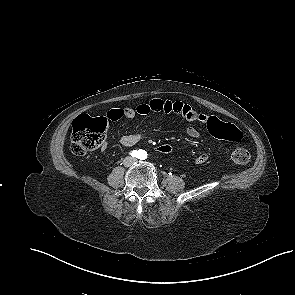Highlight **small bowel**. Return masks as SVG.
<instances>
[{
	"label": "small bowel",
	"instance_id": "1",
	"mask_svg": "<svg viewBox=\"0 0 295 295\" xmlns=\"http://www.w3.org/2000/svg\"><path fill=\"white\" fill-rule=\"evenodd\" d=\"M151 112H163L167 114L174 113L183 117L189 122H199L201 124H205L209 131L210 122L212 120L221 122L217 117L197 112L190 105L181 101H171L158 98L150 99L149 101L141 103L134 108L126 107L111 109L107 112L106 117L110 121H117L122 118L133 119L136 115H146ZM186 134L190 138H198L200 136L199 130L193 126L187 127ZM141 138L142 136L139 133L125 135L121 138L120 143L124 147H131L137 144L141 140ZM106 148L107 144L104 143L101 149L105 150ZM208 159V154L202 153L196 157L195 163L201 165L206 163Z\"/></svg>",
	"mask_w": 295,
	"mask_h": 295
}]
</instances>
